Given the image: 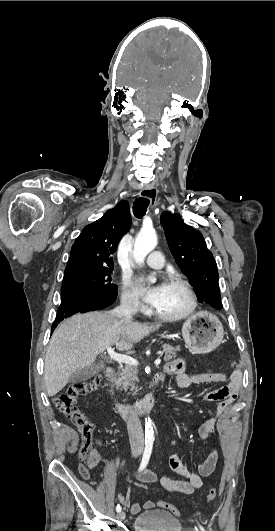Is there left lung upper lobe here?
Here are the masks:
<instances>
[{"instance_id": "1", "label": "left lung upper lobe", "mask_w": 275, "mask_h": 531, "mask_svg": "<svg viewBox=\"0 0 275 531\" xmlns=\"http://www.w3.org/2000/svg\"><path fill=\"white\" fill-rule=\"evenodd\" d=\"M161 223L170 251L194 287L198 301L221 309L217 264L201 232L167 211L162 213Z\"/></svg>"}]
</instances>
